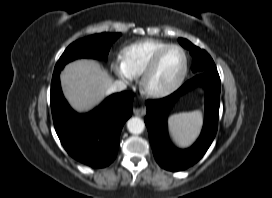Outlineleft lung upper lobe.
Wrapping results in <instances>:
<instances>
[{
	"mask_svg": "<svg viewBox=\"0 0 272 198\" xmlns=\"http://www.w3.org/2000/svg\"><path fill=\"white\" fill-rule=\"evenodd\" d=\"M179 43L186 49L190 51V54L193 57L192 70L193 72H207L216 70V66L211 56L205 51L202 50L186 39L179 38Z\"/></svg>",
	"mask_w": 272,
	"mask_h": 198,
	"instance_id": "1",
	"label": "left lung upper lobe"
}]
</instances>
